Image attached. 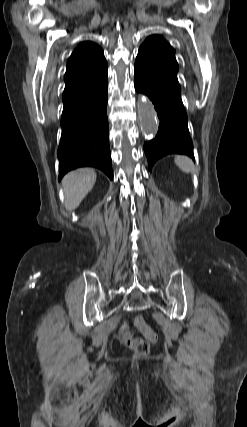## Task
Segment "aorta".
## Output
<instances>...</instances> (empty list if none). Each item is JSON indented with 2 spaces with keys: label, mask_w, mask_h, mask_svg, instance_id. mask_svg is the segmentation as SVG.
<instances>
[{
  "label": "aorta",
  "mask_w": 247,
  "mask_h": 427,
  "mask_svg": "<svg viewBox=\"0 0 247 427\" xmlns=\"http://www.w3.org/2000/svg\"><path fill=\"white\" fill-rule=\"evenodd\" d=\"M137 109L140 126L145 137L151 139L158 131L159 122L152 102L144 95H138Z\"/></svg>",
  "instance_id": "762f6f07"
}]
</instances>
